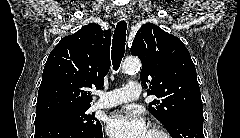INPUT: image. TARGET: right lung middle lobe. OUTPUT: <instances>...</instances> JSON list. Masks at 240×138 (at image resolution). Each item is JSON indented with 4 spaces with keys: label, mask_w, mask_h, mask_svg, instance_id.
Masks as SVG:
<instances>
[{
    "label": "right lung middle lobe",
    "mask_w": 240,
    "mask_h": 138,
    "mask_svg": "<svg viewBox=\"0 0 240 138\" xmlns=\"http://www.w3.org/2000/svg\"><path fill=\"white\" fill-rule=\"evenodd\" d=\"M89 108H64L38 114L35 117V127L50 123H65L86 133L100 131L101 123L92 115L87 114Z\"/></svg>",
    "instance_id": "obj_1"
}]
</instances>
